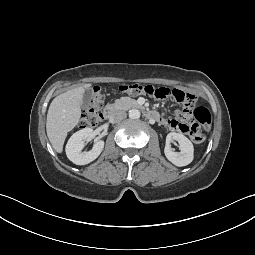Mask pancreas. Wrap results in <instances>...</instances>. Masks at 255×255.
<instances>
[{"label": "pancreas", "instance_id": "obj_1", "mask_svg": "<svg viewBox=\"0 0 255 255\" xmlns=\"http://www.w3.org/2000/svg\"><path fill=\"white\" fill-rule=\"evenodd\" d=\"M113 106L118 109H130L132 107H137L138 103L135 99L130 97H121L120 99H116L113 103Z\"/></svg>", "mask_w": 255, "mask_h": 255}]
</instances>
